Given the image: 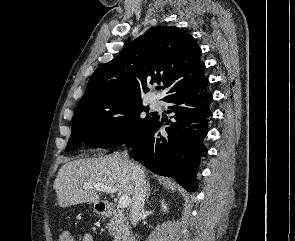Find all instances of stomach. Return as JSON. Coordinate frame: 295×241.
<instances>
[{"mask_svg": "<svg viewBox=\"0 0 295 241\" xmlns=\"http://www.w3.org/2000/svg\"><path fill=\"white\" fill-rule=\"evenodd\" d=\"M100 203H96L94 204V212H96L99 215H103L104 214V208H101L99 206Z\"/></svg>", "mask_w": 295, "mask_h": 241, "instance_id": "stomach-1", "label": "stomach"}]
</instances>
